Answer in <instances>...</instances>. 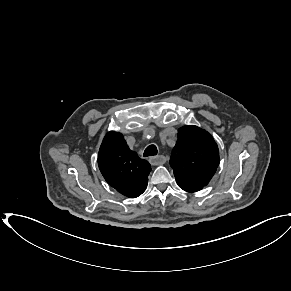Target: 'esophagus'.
Segmentation results:
<instances>
[{
	"label": "esophagus",
	"mask_w": 291,
	"mask_h": 291,
	"mask_svg": "<svg viewBox=\"0 0 291 291\" xmlns=\"http://www.w3.org/2000/svg\"><path fill=\"white\" fill-rule=\"evenodd\" d=\"M151 165H162L166 162V157L163 155L153 156L149 158Z\"/></svg>",
	"instance_id": "1"
}]
</instances>
